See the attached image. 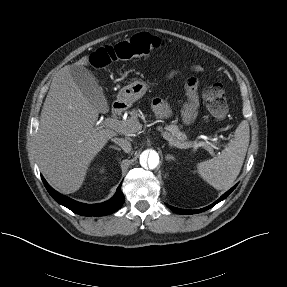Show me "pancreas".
Instances as JSON below:
<instances>
[{
  "instance_id": "obj_1",
  "label": "pancreas",
  "mask_w": 287,
  "mask_h": 287,
  "mask_svg": "<svg viewBox=\"0 0 287 287\" xmlns=\"http://www.w3.org/2000/svg\"><path fill=\"white\" fill-rule=\"evenodd\" d=\"M130 117L123 122V132L124 133H135L141 130V124L139 123V118L143 117V114L138 110L133 109L129 112ZM165 130L168 131V137L172 140V142L176 143H184L187 142L188 137L187 135L182 132L177 125V121H172L171 124L166 125Z\"/></svg>"
}]
</instances>
